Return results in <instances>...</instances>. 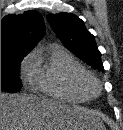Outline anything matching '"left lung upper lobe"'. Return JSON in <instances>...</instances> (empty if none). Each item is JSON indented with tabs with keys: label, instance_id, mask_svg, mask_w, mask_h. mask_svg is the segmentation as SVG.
<instances>
[{
	"label": "left lung upper lobe",
	"instance_id": "obj_1",
	"mask_svg": "<svg viewBox=\"0 0 123 130\" xmlns=\"http://www.w3.org/2000/svg\"><path fill=\"white\" fill-rule=\"evenodd\" d=\"M47 20L57 37L77 57L94 69L104 70L94 36L86 29L80 18L71 13H58L48 15Z\"/></svg>",
	"mask_w": 123,
	"mask_h": 130
}]
</instances>
